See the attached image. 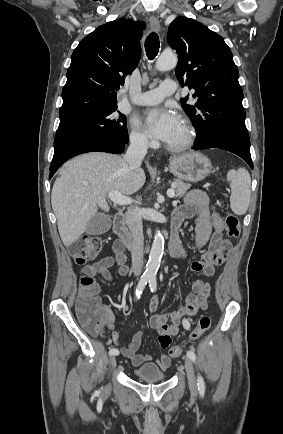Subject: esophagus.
<instances>
[{
    "label": "esophagus",
    "mask_w": 283,
    "mask_h": 434,
    "mask_svg": "<svg viewBox=\"0 0 283 434\" xmlns=\"http://www.w3.org/2000/svg\"><path fill=\"white\" fill-rule=\"evenodd\" d=\"M150 25H151L153 30H155L157 32L160 30V22H159L157 17H151L150 18Z\"/></svg>",
    "instance_id": "34e87169"
}]
</instances>
